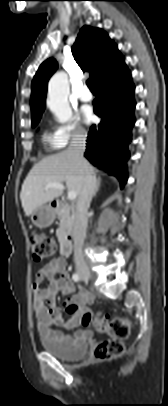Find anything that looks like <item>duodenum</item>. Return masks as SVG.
Masks as SVG:
<instances>
[{
    "label": "duodenum",
    "instance_id": "410a0bca",
    "mask_svg": "<svg viewBox=\"0 0 168 406\" xmlns=\"http://www.w3.org/2000/svg\"><path fill=\"white\" fill-rule=\"evenodd\" d=\"M51 206L53 208H59L61 206L59 201H52ZM60 249H61V254L63 256H70L72 253L73 249V244H72V236L70 234L62 236L60 240Z\"/></svg>",
    "mask_w": 168,
    "mask_h": 406
}]
</instances>
